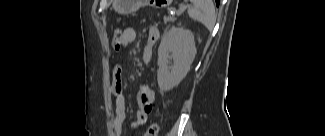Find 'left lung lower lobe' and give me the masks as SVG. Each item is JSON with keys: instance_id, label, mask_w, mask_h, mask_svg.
<instances>
[{"instance_id": "1", "label": "left lung lower lobe", "mask_w": 325, "mask_h": 136, "mask_svg": "<svg viewBox=\"0 0 325 136\" xmlns=\"http://www.w3.org/2000/svg\"><path fill=\"white\" fill-rule=\"evenodd\" d=\"M215 2H216V5L218 6L220 1L219 0H215Z\"/></svg>"}]
</instances>
